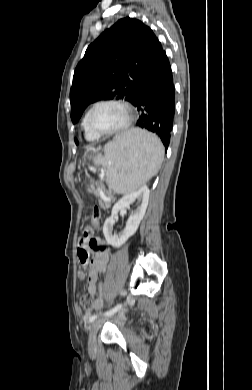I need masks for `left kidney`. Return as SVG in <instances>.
I'll list each match as a JSON object with an SVG mask.
<instances>
[{
    "label": "left kidney",
    "mask_w": 252,
    "mask_h": 390,
    "mask_svg": "<svg viewBox=\"0 0 252 390\" xmlns=\"http://www.w3.org/2000/svg\"><path fill=\"white\" fill-rule=\"evenodd\" d=\"M149 189L147 186H142L137 191L132 192L123 198H121L112 208L111 216L105 220L103 226V234L108 244L113 247L119 248L122 246L129 237H131L143 219L149 200ZM138 201L136 210L131 212L124 230L119 234L113 233V226L115 224V217L121 209L129 208V206Z\"/></svg>",
    "instance_id": "obj_1"
}]
</instances>
